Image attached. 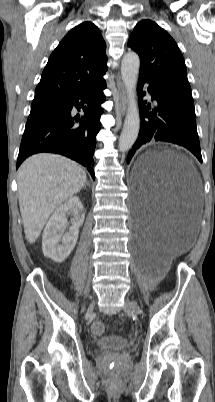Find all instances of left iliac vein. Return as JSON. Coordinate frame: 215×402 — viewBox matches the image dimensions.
<instances>
[{
	"label": "left iliac vein",
	"instance_id": "4c4485c4",
	"mask_svg": "<svg viewBox=\"0 0 215 402\" xmlns=\"http://www.w3.org/2000/svg\"><path fill=\"white\" fill-rule=\"evenodd\" d=\"M124 311L126 313H132V314H140L142 312L137 302L131 300H126L124 305Z\"/></svg>",
	"mask_w": 215,
	"mask_h": 402
}]
</instances>
